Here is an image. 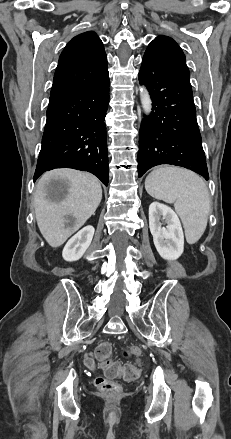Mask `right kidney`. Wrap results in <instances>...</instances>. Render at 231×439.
I'll use <instances>...</instances> for the list:
<instances>
[{"label":"right kidney","mask_w":231,"mask_h":439,"mask_svg":"<svg viewBox=\"0 0 231 439\" xmlns=\"http://www.w3.org/2000/svg\"><path fill=\"white\" fill-rule=\"evenodd\" d=\"M95 229L88 225L76 233L65 245L62 256L65 261L73 262L79 260L93 239Z\"/></svg>","instance_id":"ca27d5eb"}]
</instances>
